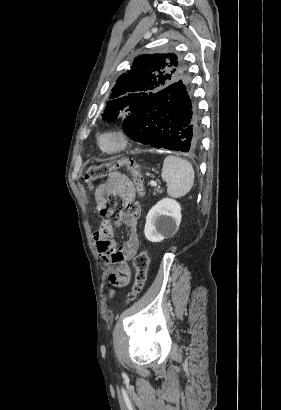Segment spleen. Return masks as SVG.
<instances>
[{
  "instance_id": "1",
  "label": "spleen",
  "mask_w": 281,
  "mask_h": 410,
  "mask_svg": "<svg viewBox=\"0 0 281 410\" xmlns=\"http://www.w3.org/2000/svg\"><path fill=\"white\" fill-rule=\"evenodd\" d=\"M161 177L168 183L167 194L179 198L191 190L194 170L187 160L169 155L164 159Z\"/></svg>"
}]
</instances>
